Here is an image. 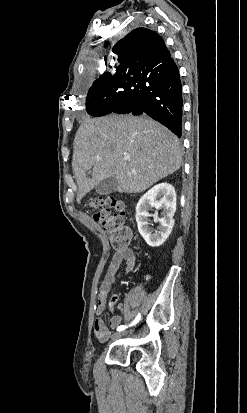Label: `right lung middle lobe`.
<instances>
[{
  "label": "right lung middle lobe",
  "instance_id": "right-lung-middle-lobe-1",
  "mask_svg": "<svg viewBox=\"0 0 247 413\" xmlns=\"http://www.w3.org/2000/svg\"><path fill=\"white\" fill-rule=\"evenodd\" d=\"M123 81L96 80L86 98V110L92 116H100L101 110L109 100L122 92Z\"/></svg>",
  "mask_w": 247,
  "mask_h": 413
}]
</instances>
